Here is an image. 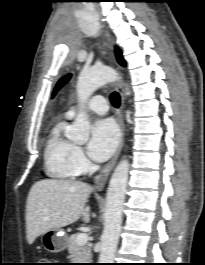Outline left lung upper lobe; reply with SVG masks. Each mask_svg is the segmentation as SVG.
Masks as SVG:
<instances>
[{"instance_id": "5c2ea615", "label": "left lung upper lobe", "mask_w": 205, "mask_h": 265, "mask_svg": "<svg viewBox=\"0 0 205 265\" xmlns=\"http://www.w3.org/2000/svg\"><path fill=\"white\" fill-rule=\"evenodd\" d=\"M115 53H116V58H117L118 62H119L122 66H125V61H124V59H123V57H122L121 51H120L118 48H116ZM70 78H71V74H68V75L62 77V78L58 81V83H57V85H56V87H55V89H54L53 96H55L56 92H57V91H58L63 85H65V84L69 81Z\"/></svg>"}]
</instances>
